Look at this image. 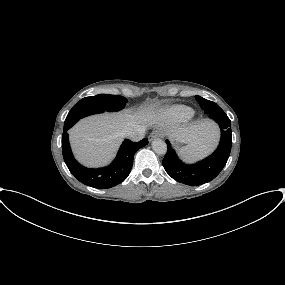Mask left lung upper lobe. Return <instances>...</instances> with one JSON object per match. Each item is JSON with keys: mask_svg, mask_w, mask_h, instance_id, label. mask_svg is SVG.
Here are the masks:
<instances>
[{"mask_svg": "<svg viewBox=\"0 0 285 285\" xmlns=\"http://www.w3.org/2000/svg\"><path fill=\"white\" fill-rule=\"evenodd\" d=\"M195 99L199 102V105L204 110L205 114H211L213 112L222 110L215 102L209 101L200 96H195Z\"/></svg>", "mask_w": 285, "mask_h": 285, "instance_id": "left-lung-upper-lobe-1", "label": "left lung upper lobe"}]
</instances>
